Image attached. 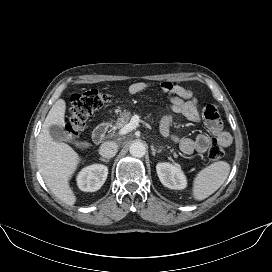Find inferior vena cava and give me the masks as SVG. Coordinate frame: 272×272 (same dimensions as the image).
Returning a JSON list of instances; mask_svg holds the SVG:
<instances>
[{"mask_svg":"<svg viewBox=\"0 0 272 272\" xmlns=\"http://www.w3.org/2000/svg\"><path fill=\"white\" fill-rule=\"evenodd\" d=\"M118 151V145L115 142H104L99 149V154L107 159H110L116 155Z\"/></svg>","mask_w":272,"mask_h":272,"instance_id":"inferior-vena-cava-1","label":"inferior vena cava"}]
</instances>
